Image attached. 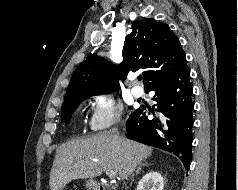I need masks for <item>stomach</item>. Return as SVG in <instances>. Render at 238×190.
Masks as SVG:
<instances>
[{"label":"stomach","mask_w":238,"mask_h":190,"mask_svg":"<svg viewBox=\"0 0 238 190\" xmlns=\"http://www.w3.org/2000/svg\"><path fill=\"white\" fill-rule=\"evenodd\" d=\"M96 186H97V183L94 180L86 181V187L88 190H94Z\"/></svg>","instance_id":"1"}]
</instances>
